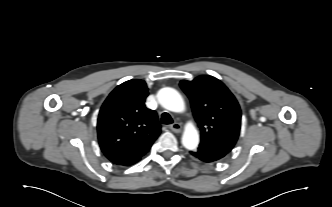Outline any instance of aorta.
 I'll return each instance as SVG.
<instances>
[{"mask_svg": "<svg viewBox=\"0 0 332 207\" xmlns=\"http://www.w3.org/2000/svg\"><path fill=\"white\" fill-rule=\"evenodd\" d=\"M162 107L172 112H183L185 104L182 96L173 88L165 87L157 94ZM182 144L188 150H194L199 144V133L193 123H189L182 135Z\"/></svg>", "mask_w": 332, "mask_h": 207, "instance_id": "762f6f07", "label": "aorta"}]
</instances>
